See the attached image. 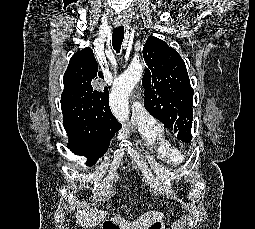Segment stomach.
Listing matches in <instances>:
<instances>
[{
	"label": "stomach",
	"instance_id": "obj_1",
	"mask_svg": "<svg viewBox=\"0 0 255 229\" xmlns=\"http://www.w3.org/2000/svg\"><path fill=\"white\" fill-rule=\"evenodd\" d=\"M112 224H114L115 229H122L119 225H117L113 222H112ZM103 225L104 224H102V226ZM147 229H165V223L162 219H158L153 224H151Z\"/></svg>",
	"mask_w": 255,
	"mask_h": 229
}]
</instances>
